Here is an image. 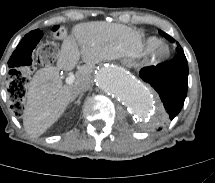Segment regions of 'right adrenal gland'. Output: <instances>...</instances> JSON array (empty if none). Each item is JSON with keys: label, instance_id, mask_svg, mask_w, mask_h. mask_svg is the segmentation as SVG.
Listing matches in <instances>:
<instances>
[{"label": "right adrenal gland", "instance_id": "right-adrenal-gland-1", "mask_svg": "<svg viewBox=\"0 0 215 183\" xmlns=\"http://www.w3.org/2000/svg\"><path fill=\"white\" fill-rule=\"evenodd\" d=\"M82 96H83V93H81V94L79 95L77 101H75L74 103L77 104V105H80V101H81ZM73 101H74V100H73ZM73 101H72V102H73Z\"/></svg>", "mask_w": 215, "mask_h": 183}]
</instances>
